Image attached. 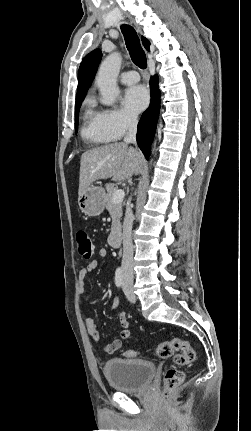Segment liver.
<instances>
[{
  "label": "liver",
  "instance_id": "liver-1",
  "mask_svg": "<svg viewBox=\"0 0 251 431\" xmlns=\"http://www.w3.org/2000/svg\"><path fill=\"white\" fill-rule=\"evenodd\" d=\"M144 158L140 151L128 147L124 142L111 143L86 151L81 156L79 190L80 195L93 182L113 178L124 181L140 171Z\"/></svg>",
  "mask_w": 251,
  "mask_h": 431
}]
</instances>
